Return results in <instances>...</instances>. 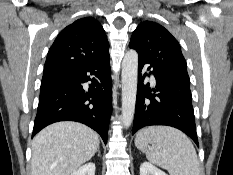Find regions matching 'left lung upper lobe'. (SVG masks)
Returning <instances> with one entry per match:
<instances>
[{"instance_id":"obj_1","label":"left lung upper lobe","mask_w":233,"mask_h":175,"mask_svg":"<svg viewBox=\"0 0 233 175\" xmlns=\"http://www.w3.org/2000/svg\"><path fill=\"white\" fill-rule=\"evenodd\" d=\"M129 46L154 68L189 79L180 45L163 26L152 21L140 23L131 36Z\"/></svg>"}]
</instances>
